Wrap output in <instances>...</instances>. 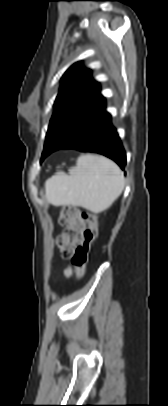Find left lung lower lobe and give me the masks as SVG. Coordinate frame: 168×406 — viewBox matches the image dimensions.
Here are the masks:
<instances>
[{
	"mask_svg": "<svg viewBox=\"0 0 168 406\" xmlns=\"http://www.w3.org/2000/svg\"><path fill=\"white\" fill-rule=\"evenodd\" d=\"M60 148L105 155L114 160L122 170L126 164L125 151L111 124V116L105 111L104 98L92 111L82 129L58 149Z\"/></svg>",
	"mask_w": 168,
	"mask_h": 406,
	"instance_id": "1",
	"label": "left lung lower lobe"
}]
</instances>
